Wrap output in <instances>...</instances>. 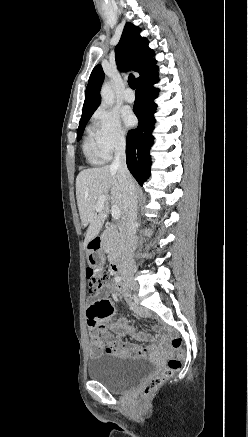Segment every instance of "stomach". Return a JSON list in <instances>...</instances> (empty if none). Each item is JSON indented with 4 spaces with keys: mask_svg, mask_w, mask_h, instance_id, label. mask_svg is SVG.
Segmentation results:
<instances>
[{
    "mask_svg": "<svg viewBox=\"0 0 248 437\" xmlns=\"http://www.w3.org/2000/svg\"><path fill=\"white\" fill-rule=\"evenodd\" d=\"M92 259H91V258ZM90 257L88 258V262L89 263H91V264H94L93 265V270L95 271V272H100L101 270H102V265L100 264V263H98L99 262V258H98V256H96V255H90Z\"/></svg>",
    "mask_w": 248,
    "mask_h": 437,
    "instance_id": "1",
    "label": "stomach"
}]
</instances>
